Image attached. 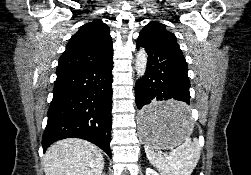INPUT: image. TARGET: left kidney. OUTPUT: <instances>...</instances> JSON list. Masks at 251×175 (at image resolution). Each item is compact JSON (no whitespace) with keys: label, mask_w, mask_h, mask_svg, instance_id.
<instances>
[{"label":"left kidney","mask_w":251,"mask_h":175,"mask_svg":"<svg viewBox=\"0 0 251 175\" xmlns=\"http://www.w3.org/2000/svg\"><path fill=\"white\" fill-rule=\"evenodd\" d=\"M146 175H160V173H158V171H155V169H151V167H147Z\"/></svg>","instance_id":"1"}]
</instances>
